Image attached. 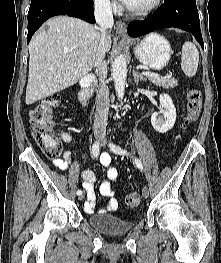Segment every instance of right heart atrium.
Returning <instances> with one entry per match:
<instances>
[{
    "mask_svg": "<svg viewBox=\"0 0 221 263\" xmlns=\"http://www.w3.org/2000/svg\"><path fill=\"white\" fill-rule=\"evenodd\" d=\"M95 4L102 9L112 10L115 8L114 0H94Z\"/></svg>",
    "mask_w": 221,
    "mask_h": 263,
    "instance_id": "right-heart-atrium-1",
    "label": "right heart atrium"
}]
</instances>
